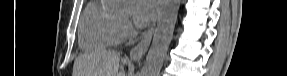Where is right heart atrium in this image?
<instances>
[{"mask_svg": "<svg viewBox=\"0 0 287 76\" xmlns=\"http://www.w3.org/2000/svg\"><path fill=\"white\" fill-rule=\"evenodd\" d=\"M132 24L127 19H119L116 26V33L119 40L126 39L132 33Z\"/></svg>", "mask_w": 287, "mask_h": 76, "instance_id": "1", "label": "right heart atrium"}]
</instances>
